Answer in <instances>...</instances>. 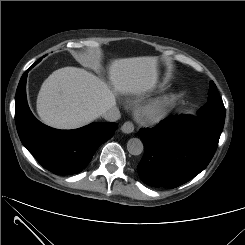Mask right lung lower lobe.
<instances>
[{
    "instance_id": "1",
    "label": "right lung lower lobe",
    "mask_w": 245,
    "mask_h": 245,
    "mask_svg": "<svg viewBox=\"0 0 245 245\" xmlns=\"http://www.w3.org/2000/svg\"><path fill=\"white\" fill-rule=\"evenodd\" d=\"M27 72L15 96V120L19 137L27 150L49 171L76 174L91 161L98 147L110 139L116 123H92L75 130H57L39 122L26 99Z\"/></svg>"
}]
</instances>
